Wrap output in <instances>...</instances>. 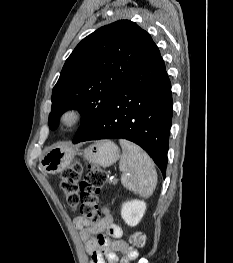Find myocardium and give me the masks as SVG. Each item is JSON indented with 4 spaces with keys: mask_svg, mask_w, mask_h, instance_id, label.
I'll return each mask as SVG.
<instances>
[{
    "mask_svg": "<svg viewBox=\"0 0 233 263\" xmlns=\"http://www.w3.org/2000/svg\"><path fill=\"white\" fill-rule=\"evenodd\" d=\"M83 118L82 112L78 108H69L59 117L60 124L67 129L77 126Z\"/></svg>",
    "mask_w": 233,
    "mask_h": 263,
    "instance_id": "f54148a6",
    "label": "myocardium"
}]
</instances>
